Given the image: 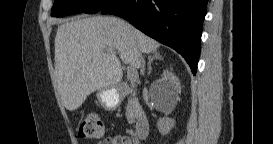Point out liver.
<instances>
[{
	"instance_id": "liver-1",
	"label": "liver",
	"mask_w": 273,
	"mask_h": 144,
	"mask_svg": "<svg viewBox=\"0 0 273 144\" xmlns=\"http://www.w3.org/2000/svg\"><path fill=\"white\" fill-rule=\"evenodd\" d=\"M160 43L122 19L94 16L66 21L55 37V76L65 108L78 109L94 91L115 89L121 62L139 68L138 55L151 53Z\"/></svg>"
}]
</instances>
